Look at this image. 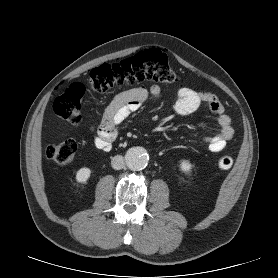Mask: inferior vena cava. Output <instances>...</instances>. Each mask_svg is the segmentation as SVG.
I'll return each instance as SVG.
<instances>
[{
	"mask_svg": "<svg viewBox=\"0 0 278 278\" xmlns=\"http://www.w3.org/2000/svg\"><path fill=\"white\" fill-rule=\"evenodd\" d=\"M111 166L115 170H120V169L124 168V166H125L124 157L121 155L114 156L111 160Z\"/></svg>",
	"mask_w": 278,
	"mask_h": 278,
	"instance_id": "1",
	"label": "inferior vena cava"
}]
</instances>
